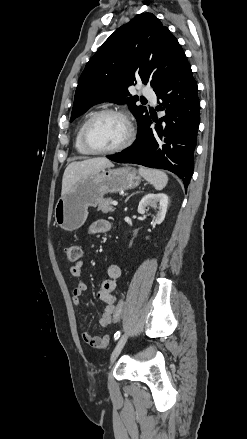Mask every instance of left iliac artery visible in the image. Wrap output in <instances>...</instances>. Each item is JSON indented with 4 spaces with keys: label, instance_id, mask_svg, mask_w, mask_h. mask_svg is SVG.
Listing matches in <instances>:
<instances>
[{
    "label": "left iliac artery",
    "instance_id": "left-iliac-artery-1",
    "mask_svg": "<svg viewBox=\"0 0 247 439\" xmlns=\"http://www.w3.org/2000/svg\"><path fill=\"white\" fill-rule=\"evenodd\" d=\"M120 335H121V332L117 331L114 335V339L117 340L120 337Z\"/></svg>",
    "mask_w": 247,
    "mask_h": 439
}]
</instances>
